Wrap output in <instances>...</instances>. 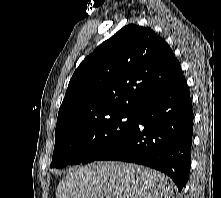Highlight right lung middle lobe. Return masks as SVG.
<instances>
[{"mask_svg":"<svg viewBox=\"0 0 221 198\" xmlns=\"http://www.w3.org/2000/svg\"><path fill=\"white\" fill-rule=\"evenodd\" d=\"M136 115L113 114L79 130L55 137L50 167L62 168L68 164H85L96 160L131 131Z\"/></svg>","mask_w":221,"mask_h":198,"instance_id":"right-lung-middle-lobe-1","label":"right lung middle lobe"}]
</instances>
